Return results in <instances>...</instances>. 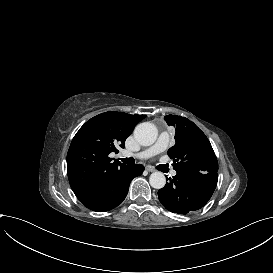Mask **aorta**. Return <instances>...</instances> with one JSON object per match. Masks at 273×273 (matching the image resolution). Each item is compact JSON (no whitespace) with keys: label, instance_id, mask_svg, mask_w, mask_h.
Wrapping results in <instances>:
<instances>
[{"label":"aorta","instance_id":"aorta-1","mask_svg":"<svg viewBox=\"0 0 273 273\" xmlns=\"http://www.w3.org/2000/svg\"><path fill=\"white\" fill-rule=\"evenodd\" d=\"M157 128L149 122L140 123L135 127L134 137L142 146H150L157 139ZM150 185L155 189H161L166 184L165 175L162 172H154L149 177Z\"/></svg>","mask_w":273,"mask_h":273}]
</instances>
